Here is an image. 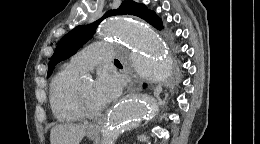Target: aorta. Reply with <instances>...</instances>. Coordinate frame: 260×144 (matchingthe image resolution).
Here are the masks:
<instances>
[{"instance_id":"762f6f07","label":"aorta","mask_w":260,"mask_h":144,"mask_svg":"<svg viewBox=\"0 0 260 144\" xmlns=\"http://www.w3.org/2000/svg\"><path fill=\"white\" fill-rule=\"evenodd\" d=\"M104 38L112 37L126 48L120 58L140 77L150 82L167 81L172 64L161 36L146 22L136 18H111L101 27ZM157 102L147 94H137L120 101L107 121L108 135L102 144H114L118 134L137 127L153 115Z\"/></svg>"}]
</instances>
